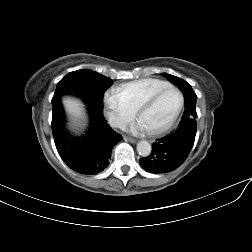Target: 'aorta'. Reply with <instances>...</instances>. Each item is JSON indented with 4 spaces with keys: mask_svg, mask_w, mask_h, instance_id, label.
I'll return each mask as SVG.
<instances>
[{
    "mask_svg": "<svg viewBox=\"0 0 252 252\" xmlns=\"http://www.w3.org/2000/svg\"><path fill=\"white\" fill-rule=\"evenodd\" d=\"M137 152L143 157H147L151 153V144L145 140L138 142Z\"/></svg>",
    "mask_w": 252,
    "mask_h": 252,
    "instance_id": "762f6f07",
    "label": "aorta"
}]
</instances>
